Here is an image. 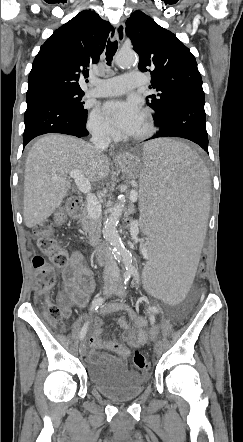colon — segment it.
<instances>
[{
	"instance_id": "1",
	"label": "colon",
	"mask_w": 243,
	"mask_h": 442,
	"mask_svg": "<svg viewBox=\"0 0 243 442\" xmlns=\"http://www.w3.org/2000/svg\"><path fill=\"white\" fill-rule=\"evenodd\" d=\"M67 221V209L56 213L53 223L61 226ZM121 223L125 229L130 230L133 227L132 218L130 216H123ZM37 236V245L39 250L48 255L52 263L56 266H65L68 262L67 252L58 245L53 237V229L51 222H42L35 230ZM209 255H202L195 272L196 278H201L208 262ZM32 264L36 273V290L39 295L47 294L55 285L56 273L52 266H50L45 259L40 255H35L32 259ZM46 317L57 326L59 329H65L66 313L58 305L53 304L48 298L44 301ZM151 358L145 356L141 352L133 354V366L140 371H149L151 369Z\"/></svg>"
}]
</instances>
